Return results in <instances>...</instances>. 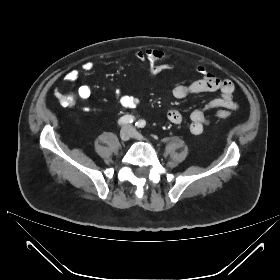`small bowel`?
I'll list each match as a JSON object with an SVG mask.
<instances>
[{"label":"small bowel","mask_w":280,"mask_h":280,"mask_svg":"<svg viewBox=\"0 0 280 280\" xmlns=\"http://www.w3.org/2000/svg\"><path fill=\"white\" fill-rule=\"evenodd\" d=\"M135 56L138 60L148 63V73L150 76H156L159 73L172 69L173 65L167 61V56L159 49L148 48L145 50H137ZM94 68V64L90 61L85 62L81 66V71L90 73ZM196 71L202 75V78L189 84H178L173 88L174 97L181 99L191 94H200L220 91L221 95L210 100L202 108L195 109L190 114L189 130L193 135H199L203 132L206 125L209 124V119L205 113L211 109H220L219 112H225L230 115V111L238 108L237 103L233 100L232 94L234 84L229 79H221L206 69L204 65H198ZM80 70L72 69L66 75L69 82H75L79 79ZM77 97L80 100H87L91 96V89L87 85H81L77 89ZM117 98L121 107L131 109L139 105L140 100L136 96L122 95L120 91H116ZM75 106V103H72ZM167 119L179 124L183 121L182 114L176 109H170L166 113Z\"/></svg>","instance_id":"small-bowel-1"}]
</instances>
